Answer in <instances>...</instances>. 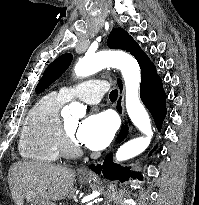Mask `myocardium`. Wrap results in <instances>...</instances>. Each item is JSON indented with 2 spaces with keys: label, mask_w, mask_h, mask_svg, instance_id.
<instances>
[{
  "label": "myocardium",
  "mask_w": 199,
  "mask_h": 205,
  "mask_svg": "<svg viewBox=\"0 0 199 205\" xmlns=\"http://www.w3.org/2000/svg\"><path fill=\"white\" fill-rule=\"evenodd\" d=\"M58 148L60 155L68 158L78 156L81 153L78 143L70 136L64 121H61L59 127Z\"/></svg>",
  "instance_id": "obj_1"
}]
</instances>
